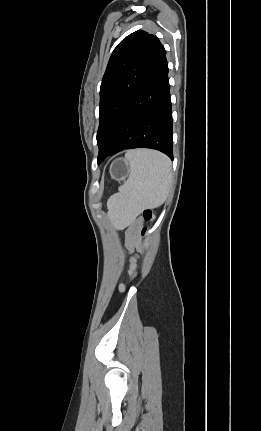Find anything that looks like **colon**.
Here are the masks:
<instances>
[{"label": "colon", "instance_id": "obj_1", "mask_svg": "<svg viewBox=\"0 0 261 431\" xmlns=\"http://www.w3.org/2000/svg\"><path fill=\"white\" fill-rule=\"evenodd\" d=\"M142 217L145 221L147 222H152L154 220V213L152 210L150 209H145L142 213ZM149 233V229L148 228H143L141 231L142 236H146ZM125 289V286L123 284L119 285V291L123 292Z\"/></svg>", "mask_w": 261, "mask_h": 431}]
</instances>
